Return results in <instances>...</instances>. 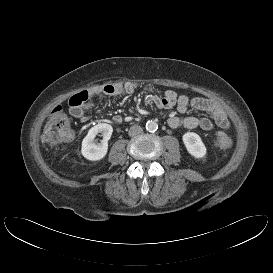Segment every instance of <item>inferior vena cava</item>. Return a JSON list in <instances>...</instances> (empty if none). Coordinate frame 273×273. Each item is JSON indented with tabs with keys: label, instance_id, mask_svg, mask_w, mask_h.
<instances>
[{
	"label": "inferior vena cava",
	"instance_id": "obj_1",
	"mask_svg": "<svg viewBox=\"0 0 273 273\" xmlns=\"http://www.w3.org/2000/svg\"><path fill=\"white\" fill-rule=\"evenodd\" d=\"M142 132H143V129L139 125H133L129 129V135L132 137L137 136V135L141 134Z\"/></svg>",
	"mask_w": 273,
	"mask_h": 273
}]
</instances>
